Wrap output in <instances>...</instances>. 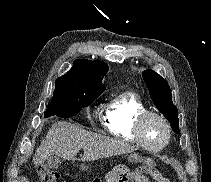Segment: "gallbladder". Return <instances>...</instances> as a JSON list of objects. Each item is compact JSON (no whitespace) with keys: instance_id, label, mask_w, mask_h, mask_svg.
I'll use <instances>...</instances> for the list:
<instances>
[{"instance_id":"bac80fb5","label":"gallbladder","mask_w":211,"mask_h":182,"mask_svg":"<svg viewBox=\"0 0 211 182\" xmlns=\"http://www.w3.org/2000/svg\"><path fill=\"white\" fill-rule=\"evenodd\" d=\"M61 164L60 158L55 155H50L46 159V165L51 169H57Z\"/></svg>"}]
</instances>
